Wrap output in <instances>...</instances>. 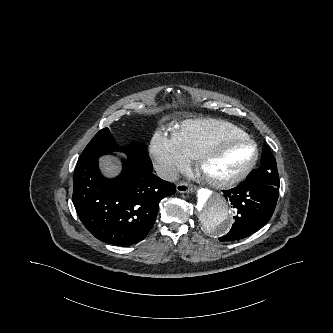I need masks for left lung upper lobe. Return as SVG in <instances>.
Here are the masks:
<instances>
[{
  "label": "left lung upper lobe",
  "instance_id": "obj_1",
  "mask_svg": "<svg viewBox=\"0 0 333 333\" xmlns=\"http://www.w3.org/2000/svg\"><path fill=\"white\" fill-rule=\"evenodd\" d=\"M249 177L252 179H278V171H277V165L276 161L270 153L269 155H265L262 153L261 158V166L253 170Z\"/></svg>",
  "mask_w": 333,
  "mask_h": 333
}]
</instances>
